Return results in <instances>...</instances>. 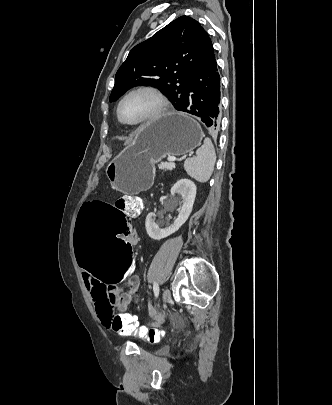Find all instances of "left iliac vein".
I'll use <instances>...</instances> for the list:
<instances>
[{"label": "left iliac vein", "mask_w": 332, "mask_h": 405, "mask_svg": "<svg viewBox=\"0 0 332 405\" xmlns=\"http://www.w3.org/2000/svg\"><path fill=\"white\" fill-rule=\"evenodd\" d=\"M171 299V292L169 289H164L163 294H162V303L166 304L170 301Z\"/></svg>", "instance_id": "left-iliac-vein-1"}]
</instances>
